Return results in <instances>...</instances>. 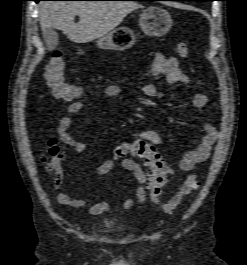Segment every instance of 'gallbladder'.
<instances>
[{
  "mask_svg": "<svg viewBox=\"0 0 247 265\" xmlns=\"http://www.w3.org/2000/svg\"><path fill=\"white\" fill-rule=\"evenodd\" d=\"M43 39L47 49H53L58 43V33L53 27L43 30Z\"/></svg>",
  "mask_w": 247,
  "mask_h": 265,
  "instance_id": "gallbladder-1",
  "label": "gallbladder"
}]
</instances>
